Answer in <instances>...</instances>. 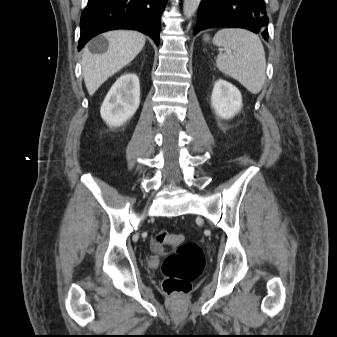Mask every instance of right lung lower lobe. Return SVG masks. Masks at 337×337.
Instances as JSON below:
<instances>
[{
	"label": "right lung lower lobe",
	"instance_id": "obj_1",
	"mask_svg": "<svg viewBox=\"0 0 337 337\" xmlns=\"http://www.w3.org/2000/svg\"><path fill=\"white\" fill-rule=\"evenodd\" d=\"M167 0H88L81 15L78 50L94 36L114 29L138 30L159 44L161 14Z\"/></svg>",
	"mask_w": 337,
	"mask_h": 337
}]
</instances>
